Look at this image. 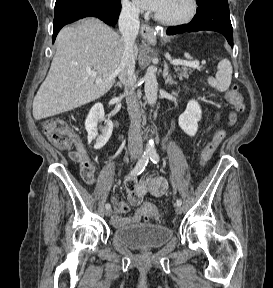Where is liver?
<instances>
[{
	"instance_id": "obj_1",
	"label": "liver",
	"mask_w": 273,
	"mask_h": 288,
	"mask_svg": "<svg viewBox=\"0 0 273 288\" xmlns=\"http://www.w3.org/2000/svg\"><path fill=\"white\" fill-rule=\"evenodd\" d=\"M123 51V38L99 19L64 27L57 36L48 75L33 101L34 119L73 110L106 94L115 83ZM138 51L135 45V58ZM92 71L96 76L89 75Z\"/></svg>"
}]
</instances>
